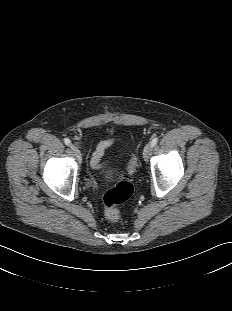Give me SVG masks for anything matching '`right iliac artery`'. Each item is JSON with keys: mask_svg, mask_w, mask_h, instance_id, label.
I'll use <instances>...</instances> for the list:
<instances>
[{"mask_svg": "<svg viewBox=\"0 0 232 311\" xmlns=\"http://www.w3.org/2000/svg\"><path fill=\"white\" fill-rule=\"evenodd\" d=\"M64 143L68 146L71 145V141L68 138L64 139Z\"/></svg>", "mask_w": 232, "mask_h": 311, "instance_id": "right-iliac-artery-1", "label": "right iliac artery"}]
</instances>
